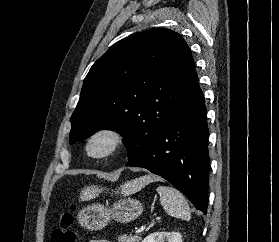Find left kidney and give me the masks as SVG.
<instances>
[{
	"mask_svg": "<svg viewBox=\"0 0 279 242\" xmlns=\"http://www.w3.org/2000/svg\"><path fill=\"white\" fill-rule=\"evenodd\" d=\"M182 242L179 232H155L148 235L142 242Z\"/></svg>",
	"mask_w": 279,
	"mask_h": 242,
	"instance_id": "5707ae66",
	"label": "left kidney"
}]
</instances>
